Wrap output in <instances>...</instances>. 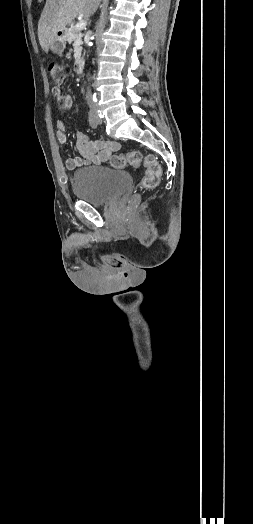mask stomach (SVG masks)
Segmentation results:
<instances>
[{"instance_id":"obj_1","label":"stomach","mask_w":253,"mask_h":524,"mask_svg":"<svg viewBox=\"0 0 253 524\" xmlns=\"http://www.w3.org/2000/svg\"><path fill=\"white\" fill-rule=\"evenodd\" d=\"M66 47L65 31H59L53 39L50 49L55 54H61Z\"/></svg>"}]
</instances>
